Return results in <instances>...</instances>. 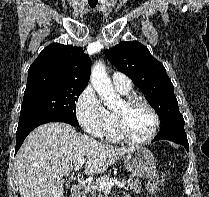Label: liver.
<instances>
[{
    "label": "liver",
    "mask_w": 209,
    "mask_h": 197,
    "mask_svg": "<svg viewBox=\"0 0 209 197\" xmlns=\"http://www.w3.org/2000/svg\"><path fill=\"white\" fill-rule=\"evenodd\" d=\"M133 150L98 142L66 123L43 124L28 135L16 155L20 197H63L62 178L80 159L86 161L85 174L94 175Z\"/></svg>",
    "instance_id": "obj_1"
}]
</instances>
